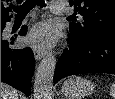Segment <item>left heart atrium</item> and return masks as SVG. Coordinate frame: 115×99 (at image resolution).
<instances>
[{
    "label": "left heart atrium",
    "instance_id": "1",
    "mask_svg": "<svg viewBox=\"0 0 115 99\" xmlns=\"http://www.w3.org/2000/svg\"><path fill=\"white\" fill-rule=\"evenodd\" d=\"M56 40V31L49 23H40L29 32L26 42L35 49L51 46Z\"/></svg>",
    "mask_w": 115,
    "mask_h": 99
}]
</instances>
